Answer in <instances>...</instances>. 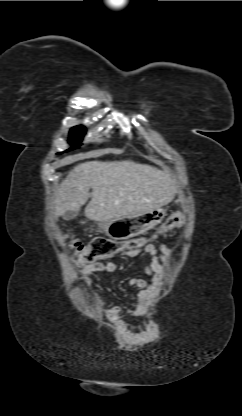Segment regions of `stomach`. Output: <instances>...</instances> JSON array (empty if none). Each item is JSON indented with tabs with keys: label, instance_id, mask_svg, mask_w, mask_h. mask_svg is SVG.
Masks as SVG:
<instances>
[{
	"label": "stomach",
	"instance_id": "stomach-1",
	"mask_svg": "<svg viewBox=\"0 0 242 416\" xmlns=\"http://www.w3.org/2000/svg\"><path fill=\"white\" fill-rule=\"evenodd\" d=\"M166 209L156 208L143 214L97 221L98 230L114 240H126L153 229L166 216Z\"/></svg>",
	"mask_w": 242,
	"mask_h": 416
}]
</instances>
